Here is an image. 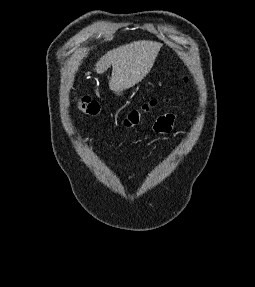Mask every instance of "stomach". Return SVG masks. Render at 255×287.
<instances>
[{
    "label": "stomach",
    "mask_w": 255,
    "mask_h": 287,
    "mask_svg": "<svg viewBox=\"0 0 255 287\" xmlns=\"http://www.w3.org/2000/svg\"><path fill=\"white\" fill-rule=\"evenodd\" d=\"M125 90H119V92H114V94H116V96H123Z\"/></svg>",
    "instance_id": "1"
}]
</instances>
